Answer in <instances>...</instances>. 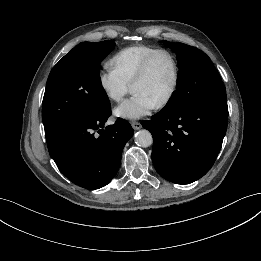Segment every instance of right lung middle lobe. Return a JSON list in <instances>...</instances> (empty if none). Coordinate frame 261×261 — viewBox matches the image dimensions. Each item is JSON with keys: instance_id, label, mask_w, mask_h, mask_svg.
Returning <instances> with one entry per match:
<instances>
[{"instance_id": "right-lung-middle-lobe-1", "label": "right lung middle lobe", "mask_w": 261, "mask_h": 261, "mask_svg": "<svg viewBox=\"0 0 261 261\" xmlns=\"http://www.w3.org/2000/svg\"><path fill=\"white\" fill-rule=\"evenodd\" d=\"M114 46L110 40L82 42L53 67L42 102L46 138L108 110L110 106L100 87L98 67Z\"/></svg>"}]
</instances>
